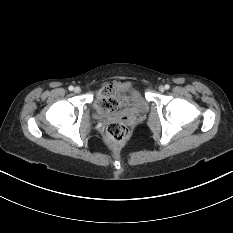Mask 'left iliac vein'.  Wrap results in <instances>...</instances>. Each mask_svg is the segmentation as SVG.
<instances>
[{
  "mask_svg": "<svg viewBox=\"0 0 233 233\" xmlns=\"http://www.w3.org/2000/svg\"><path fill=\"white\" fill-rule=\"evenodd\" d=\"M158 89H159V91H160V92H164L165 87H164V86H159V88H158Z\"/></svg>",
  "mask_w": 233,
  "mask_h": 233,
  "instance_id": "obj_1",
  "label": "left iliac vein"
}]
</instances>
